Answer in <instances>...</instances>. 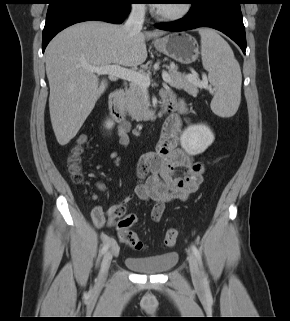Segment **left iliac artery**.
<instances>
[{"mask_svg":"<svg viewBox=\"0 0 290 321\" xmlns=\"http://www.w3.org/2000/svg\"><path fill=\"white\" fill-rule=\"evenodd\" d=\"M191 248H192V251H193L195 257L197 258V260L199 262V265H200L201 269H202L203 283H204L205 286H208L207 276H206V273H205V271L203 269L201 253H200V251L197 249V247L194 244L191 245Z\"/></svg>","mask_w":290,"mask_h":321,"instance_id":"left-iliac-artery-1","label":"left iliac artery"}]
</instances>
